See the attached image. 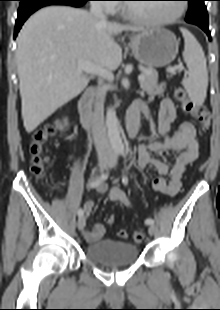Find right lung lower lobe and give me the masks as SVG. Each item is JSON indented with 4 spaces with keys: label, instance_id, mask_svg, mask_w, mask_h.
<instances>
[{
    "label": "right lung lower lobe",
    "instance_id": "1",
    "mask_svg": "<svg viewBox=\"0 0 220 310\" xmlns=\"http://www.w3.org/2000/svg\"><path fill=\"white\" fill-rule=\"evenodd\" d=\"M18 18L15 24L14 38L17 36L20 28L26 19L38 9L49 5H69L80 7L89 0H19Z\"/></svg>",
    "mask_w": 220,
    "mask_h": 310
}]
</instances>
